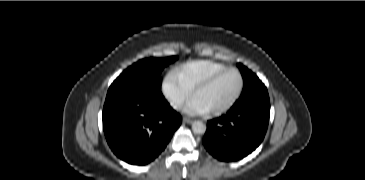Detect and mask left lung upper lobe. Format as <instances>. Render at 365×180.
Returning <instances> with one entry per match:
<instances>
[{"label": "left lung upper lobe", "mask_w": 365, "mask_h": 180, "mask_svg": "<svg viewBox=\"0 0 365 180\" xmlns=\"http://www.w3.org/2000/svg\"><path fill=\"white\" fill-rule=\"evenodd\" d=\"M237 66L239 67L244 79V88L242 94L265 87L261 80L253 72L240 63H238Z\"/></svg>", "instance_id": "obj_1"}]
</instances>
